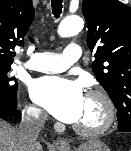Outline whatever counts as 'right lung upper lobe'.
Returning <instances> with one entry per match:
<instances>
[{
	"instance_id": "cb5924a9",
	"label": "right lung upper lobe",
	"mask_w": 131,
	"mask_h": 151,
	"mask_svg": "<svg viewBox=\"0 0 131 151\" xmlns=\"http://www.w3.org/2000/svg\"><path fill=\"white\" fill-rule=\"evenodd\" d=\"M34 19L32 0H0V65H11Z\"/></svg>"
}]
</instances>
